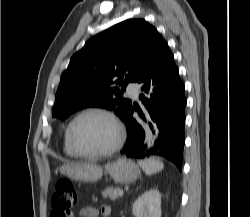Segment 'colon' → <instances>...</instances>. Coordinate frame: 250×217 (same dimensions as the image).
Masks as SVG:
<instances>
[{
    "instance_id": "5ec220e1",
    "label": "colon",
    "mask_w": 250,
    "mask_h": 217,
    "mask_svg": "<svg viewBox=\"0 0 250 217\" xmlns=\"http://www.w3.org/2000/svg\"><path fill=\"white\" fill-rule=\"evenodd\" d=\"M78 202L77 192L68 179L59 180L51 197L50 217H70Z\"/></svg>"
}]
</instances>
